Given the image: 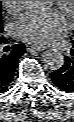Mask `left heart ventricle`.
Instances as JSON below:
<instances>
[{
  "mask_svg": "<svg viewBox=\"0 0 74 122\" xmlns=\"http://www.w3.org/2000/svg\"><path fill=\"white\" fill-rule=\"evenodd\" d=\"M62 12L69 19V11L66 8H64Z\"/></svg>",
  "mask_w": 74,
  "mask_h": 122,
  "instance_id": "left-heart-ventricle-1",
  "label": "left heart ventricle"
}]
</instances>
